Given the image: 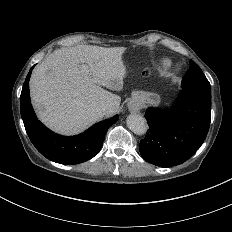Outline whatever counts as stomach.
<instances>
[{
    "mask_svg": "<svg viewBox=\"0 0 232 232\" xmlns=\"http://www.w3.org/2000/svg\"><path fill=\"white\" fill-rule=\"evenodd\" d=\"M132 102L144 107L146 104L158 105L160 102V96L156 93L145 92V91H133L132 92Z\"/></svg>",
    "mask_w": 232,
    "mask_h": 232,
    "instance_id": "obj_1",
    "label": "stomach"
}]
</instances>
